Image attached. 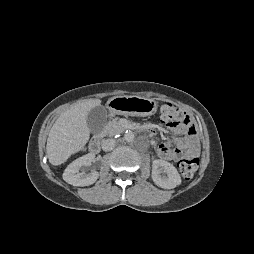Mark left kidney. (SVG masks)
Listing matches in <instances>:
<instances>
[{
	"mask_svg": "<svg viewBox=\"0 0 254 254\" xmlns=\"http://www.w3.org/2000/svg\"><path fill=\"white\" fill-rule=\"evenodd\" d=\"M160 171L165 172L167 177H161ZM152 179L157 186L165 189H173L181 184V177L177 169L171 163L160 159L153 161Z\"/></svg>",
	"mask_w": 254,
	"mask_h": 254,
	"instance_id": "1",
	"label": "left kidney"
}]
</instances>
